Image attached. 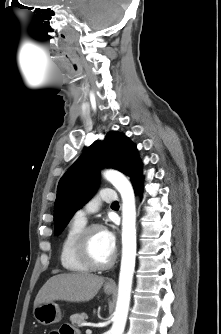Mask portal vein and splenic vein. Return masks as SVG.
Returning a JSON list of instances; mask_svg holds the SVG:
<instances>
[{
  "label": "portal vein and splenic vein",
  "instance_id": "1",
  "mask_svg": "<svg viewBox=\"0 0 221 334\" xmlns=\"http://www.w3.org/2000/svg\"><path fill=\"white\" fill-rule=\"evenodd\" d=\"M91 333H92V331L90 329L86 330V334H91Z\"/></svg>",
  "mask_w": 221,
  "mask_h": 334
}]
</instances>
